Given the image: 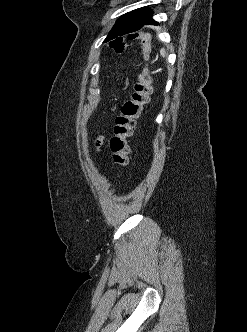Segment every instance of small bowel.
Here are the masks:
<instances>
[{"mask_svg": "<svg viewBox=\"0 0 247 332\" xmlns=\"http://www.w3.org/2000/svg\"><path fill=\"white\" fill-rule=\"evenodd\" d=\"M105 139H106L105 137H99L98 140L96 141V145L100 147Z\"/></svg>", "mask_w": 247, "mask_h": 332, "instance_id": "c3829d8e", "label": "small bowel"}]
</instances>
